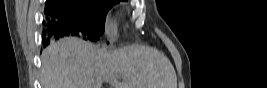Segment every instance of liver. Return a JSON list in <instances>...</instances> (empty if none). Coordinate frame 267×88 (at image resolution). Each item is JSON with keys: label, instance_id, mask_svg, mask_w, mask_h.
<instances>
[{"label": "liver", "instance_id": "obj_1", "mask_svg": "<svg viewBox=\"0 0 267 88\" xmlns=\"http://www.w3.org/2000/svg\"><path fill=\"white\" fill-rule=\"evenodd\" d=\"M42 88H177L169 59L142 45L108 51L76 37H65L42 51ZM122 77V82L118 78Z\"/></svg>", "mask_w": 267, "mask_h": 88}]
</instances>
